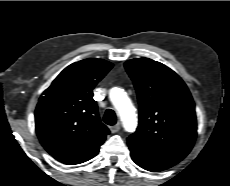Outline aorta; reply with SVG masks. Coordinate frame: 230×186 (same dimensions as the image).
Wrapping results in <instances>:
<instances>
[{
	"label": "aorta",
	"instance_id": "obj_1",
	"mask_svg": "<svg viewBox=\"0 0 230 186\" xmlns=\"http://www.w3.org/2000/svg\"><path fill=\"white\" fill-rule=\"evenodd\" d=\"M109 98L118 112L126 131L132 132L137 127L136 110L123 89L114 87L109 92Z\"/></svg>",
	"mask_w": 230,
	"mask_h": 186
}]
</instances>
